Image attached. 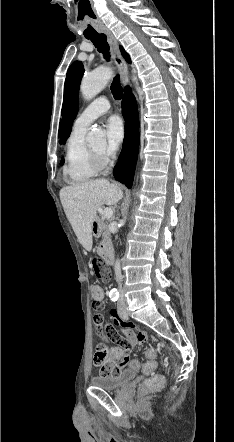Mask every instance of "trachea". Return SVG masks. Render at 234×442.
<instances>
[{
  "instance_id": "obj_1",
  "label": "trachea",
  "mask_w": 234,
  "mask_h": 442,
  "mask_svg": "<svg viewBox=\"0 0 234 442\" xmlns=\"http://www.w3.org/2000/svg\"><path fill=\"white\" fill-rule=\"evenodd\" d=\"M87 39H90V41L94 44V46L97 48V50L103 54L104 58L106 60H109L110 53H109V45L107 42V36L105 34H98L94 37H88ZM111 91L116 100H120L123 95V90L120 84L119 75L115 76L113 79V82L111 84Z\"/></svg>"
}]
</instances>
